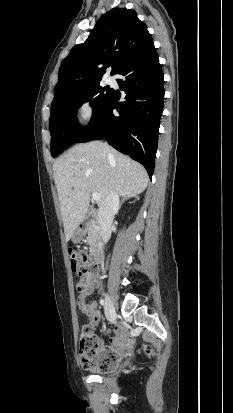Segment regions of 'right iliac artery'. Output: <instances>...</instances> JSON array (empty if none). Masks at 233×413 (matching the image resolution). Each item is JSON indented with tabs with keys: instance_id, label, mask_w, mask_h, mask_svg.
Instances as JSON below:
<instances>
[{
	"instance_id": "right-iliac-artery-1",
	"label": "right iliac artery",
	"mask_w": 233,
	"mask_h": 413,
	"mask_svg": "<svg viewBox=\"0 0 233 413\" xmlns=\"http://www.w3.org/2000/svg\"><path fill=\"white\" fill-rule=\"evenodd\" d=\"M100 304H101V305H104V304H105V302H104L103 299L100 300Z\"/></svg>"
}]
</instances>
